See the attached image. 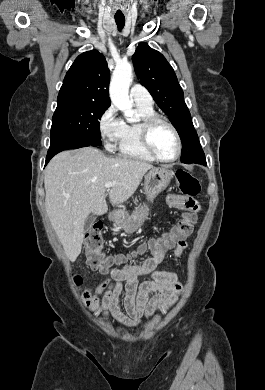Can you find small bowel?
Returning <instances> with one entry per match:
<instances>
[{
	"instance_id": "1",
	"label": "small bowel",
	"mask_w": 265,
	"mask_h": 390,
	"mask_svg": "<svg viewBox=\"0 0 265 390\" xmlns=\"http://www.w3.org/2000/svg\"><path fill=\"white\" fill-rule=\"evenodd\" d=\"M167 202L186 212H197L198 202L193 197L170 194ZM174 226L169 232L163 233L158 238L150 239L142 244L137 253L151 251V256L140 265L126 263V256L117 255L113 260L118 267L112 268L109 279L99 283L90 297L89 308L99 313L104 319L113 324L124 327H137L143 320L151 318L158 313L165 312L176 299V294L182 285L176 273L171 271H159L157 267L164 261L169 250L173 249L175 256L179 257L186 248L184 239H173ZM150 275L151 280L139 283L138 277ZM125 282V309L124 313L119 306V296ZM150 293L155 295L149 298ZM102 294V297L99 296Z\"/></svg>"
}]
</instances>
